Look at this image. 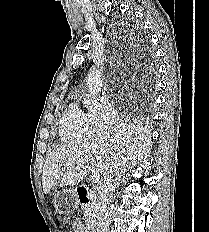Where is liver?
I'll return each instance as SVG.
<instances>
[{
  "label": "liver",
  "instance_id": "6515ba94",
  "mask_svg": "<svg viewBox=\"0 0 209 232\" xmlns=\"http://www.w3.org/2000/svg\"><path fill=\"white\" fill-rule=\"evenodd\" d=\"M149 140L131 124H121L115 129L89 136L64 145L50 153L43 166L42 185L45 194L53 186H74L91 166L101 175V182L109 174L121 175L142 160L148 153Z\"/></svg>",
  "mask_w": 209,
  "mask_h": 232
}]
</instances>
